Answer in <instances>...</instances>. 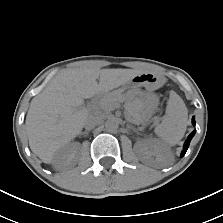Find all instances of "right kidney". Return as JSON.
Here are the masks:
<instances>
[{"label":"right kidney","mask_w":223,"mask_h":223,"mask_svg":"<svg viewBox=\"0 0 223 223\" xmlns=\"http://www.w3.org/2000/svg\"><path fill=\"white\" fill-rule=\"evenodd\" d=\"M78 144L70 143L61 148L55 156L54 166L62 168L75 165Z\"/></svg>","instance_id":"1"}]
</instances>
